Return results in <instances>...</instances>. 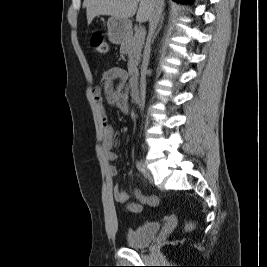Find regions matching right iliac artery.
Masks as SVG:
<instances>
[{
    "instance_id": "82829eb1",
    "label": "right iliac artery",
    "mask_w": 267,
    "mask_h": 267,
    "mask_svg": "<svg viewBox=\"0 0 267 267\" xmlns=\"http://www.w3.org/2000/svg\"><path fill=\"white\" fill-rule=\"evenodd\" d=\"M136 168L138 169L139 172H141L144 177L147 178V174H146V171H145V166L143 165V163L137 161L136 162Z\"/></svg>"
}]
</instances>
